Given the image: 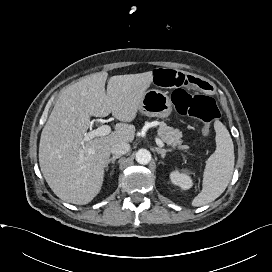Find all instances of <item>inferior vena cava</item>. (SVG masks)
<instances>
[{
    "instance_id": "1",
    "label": "inferior vena cava",
    "mask_w": 272,
    "mask_h": 272,
    "mask_svg": "<svg viewBox=\"0 0 272 272\" xmlns=\"http://www.w3.org/2000/svg\"><path fill=\"white\" fill-rule=\"evenodd\" d=\"M130 151V145L126 142H118L111 146L110 152L115 156H121Z\"/></svg>"
}]
</instances>
